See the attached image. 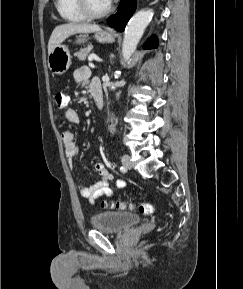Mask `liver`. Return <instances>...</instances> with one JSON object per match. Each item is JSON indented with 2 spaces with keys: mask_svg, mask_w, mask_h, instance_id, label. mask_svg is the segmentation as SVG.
Returning a JSON list of instances; mask_svg holds the SVG:
<instances>
[{
  "mask_svg": "<svg viewBox=\"0 0 243 289\" xmlns=\"http://www.w3.org/2000/svg\"><path fill=\"white\" fill-rule=\"evenodd\" d=\"M101 28L98 25L87 23H67L62 24L53 30L48 42V54H50L55 47L60 45L66 38L76 33H92L99 32Z\"/></svg>",
  "mask_w": 243,
  "mask_h": 289,
  "instance_id": "liver-1",
  "label": "liver"
}]
</instances>
